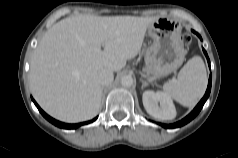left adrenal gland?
I'll return each instance as SVG.
<instances>
[{
    "mask_svg": "<svg viewBox=\"0 0 238 158\" xmlns=\"http://www.w3.org/2000/svg\"><path fill=\"white\" fill-rule=\"evenodd\" d=\"M140 80L142 82V87H141L142 89H144L146 86H148V83L145 80H143L142 78Z\"/></svg>",
    "mask_w": 238,
    "mask_h": 158,
    "instance_id": "left-adrenal-gland-1",
    "label": "left adrenal gland"
}]
</instances>
